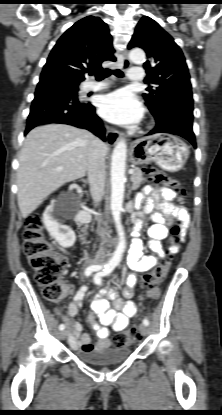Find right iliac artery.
<instances>
[{
	"label": "right iliac artery",
	"instance_id": "1",
	"mask_svg": "<svg viewBox=\"0 0 222 415\" xmlns=\"http://www.w3.org/2000/svg\"><path fill=\"white\" fill-rule=\"evenodd\" d=\"M106 267V265L104 266V268ZM103 268V266H99V265H92V266H89V267H87L86 269H85V275L86 276H90L91 274H92V272H94V271H99V270H101ZM64 328H65V325L64 324H60V326H59V329L60 330H64Z\"/></svg>",
	"mask_w": 222,
	"mask_h": 415
}]
</instances>
